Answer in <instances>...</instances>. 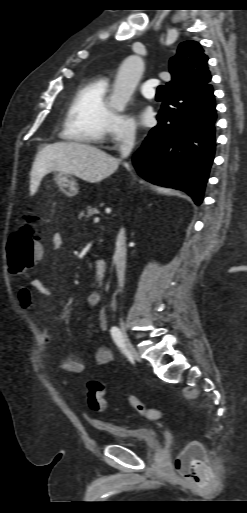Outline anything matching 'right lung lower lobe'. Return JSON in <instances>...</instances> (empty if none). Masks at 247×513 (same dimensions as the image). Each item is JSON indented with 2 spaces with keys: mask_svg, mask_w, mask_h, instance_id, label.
<instances>
[{
  "mask_svg": "<svg viewBox=\"0 0 247 513\" xmlns=\"http://www.w3.org/2000/svg\"><path fill=\"white\" fill-rule=\"evenodd\" d=\"M157 120L134 154V167L144 179L183 190L201 204L216 146L212 86L199 92H166Z\"/></svg>",
  "mask_w": 247,
  "mask_h": 513,
  "instance_id": "98d812e1",
  "label": "right lung lower lobe"
}]
</instances>
